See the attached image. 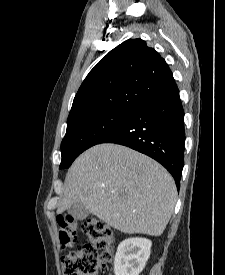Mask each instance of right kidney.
Returning <instances> with one entry per match:
<instances>
[{
	"label": "right kidney",
	"mask_w": 225,
	"mask_h": 275,
	"mask_svg": "<svg viewBox=\"0 0 225 275\" xmlns=\"http://www.w3.org/2000/svg\"><path fill=\"white\" fill-rule=\"evenodd\" d=\"M152 242L146 238H128L122 241L114 259L115 275H139L150 256Z\"/></svg>",
	"instance_id": "obj_1"
}]
</instances>
